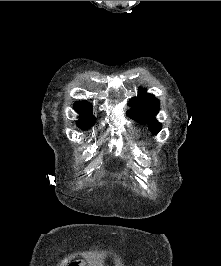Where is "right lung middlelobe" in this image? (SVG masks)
Segmentation results:
<instances>
[{
  "instance_id": "1",
  "label": "right lung middle lobe",
  "mask_w": 221,
  "mask_h": 266,
  "mask_svg": "<svg viewBox=\"0 0 221 266\" xmlns=\"http://www.w3.org/2000/svg\"><path fill=\"white\" fill-rule=\"evenodd\" d=\"M95 122L93 118H82L79 122H77L78 126L82 129H86L91 127Z\"/></svg>"
}]
</instances>
